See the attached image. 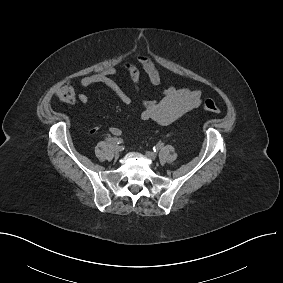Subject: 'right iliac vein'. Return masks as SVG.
Masks as SVG:
<instances>
[{
    "label": "right iliac vein",
    "mask_w": 283,
    "mask_h": 283,
    "mask_svg": "<svg viewBox=\"0 0 283 283\" xmlns=\"http://www.w3.org/2000/svg\"><path fill=\"white\" fill-rule=\"evenodd\" d=\"M113 151L117 154L120 151V147L117 145L112 146Z\"/></svg>",
    "instance_id": "obj_1"
}]
</instances>
